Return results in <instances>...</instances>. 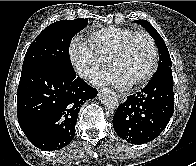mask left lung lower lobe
I'll list each match as a JSON object with an SVG mask.
<instances>
[{
	"mask_svg": "<svg viewBox=\"0 0 196 166\" xmlns=\"http://www.w3.org/2000/svg\"><path fill=\"white\" fill-rule=\"evenodd\" d=\"M171 67L159 69L148 85L127 97L114 117L115 132L128 143L143 144L155 139L174 112Z\"/></svg>",
	"mask_w": 196,
	"mask_h": 166,
	"instance_id": "0a47b994",
	"label": "left lung lower lobe"
}]
</instances>
